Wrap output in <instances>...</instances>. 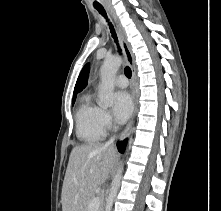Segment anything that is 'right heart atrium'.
Instances as JSON below:
<instances>
[{"label": "right heart atrium", "mask_w": 221, "mask_h": 211, "mask_svg": "<svg viewBox=\"0 0 221 211\" xmlns=\"http://www.w3.org/2000/svg\"><path fill=\"white\" fill-rule=\"evenodd\" d=\"M98 123L103 133L114 128L112 116L105 109H99Z\"/></svg>", "instance_id": "d8ad5b80"}]
</instances>
